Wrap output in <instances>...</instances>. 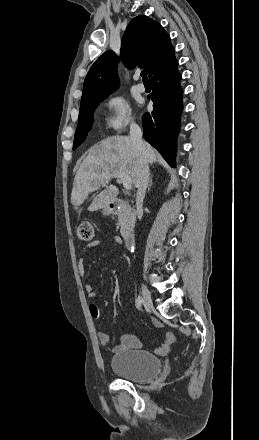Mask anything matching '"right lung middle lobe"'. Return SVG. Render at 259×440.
<instances>
[{"label":"right lung middle lobe","instance_id":"1","mask_svg":"<svg viewBox=\"0 0 259 440\" xmlns=\"http://www.w3.org/2000/svg\"><path fill=\"white\" fill-rule=\"evenodd\" d=\"M106 97L94 100L87 104L80 105L78 127L76 129L73 149H76L86 138L93 123V113L98 104Z\"/></svg>","mask_w":259,"mask_h":440}]
</instances>
